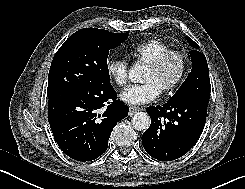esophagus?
I'll list each match as a JSON object with an SVG mask.
<instances>
[{"label":"esophagus","mask_w":245,"mask_h":189,"mask_svg":"<svg viewBox=\"0 0 245 189\" xmlns=\"http://www.w3.org/2000/svg\"><path fill=\"white\" fill-rule=\"evenodd\" d=\"M139 109L134 107V106H130L129 107V115L132 116L133 114H135L136 112H138Z\"/></svg>","instance_id":"1"}]
</instances>
